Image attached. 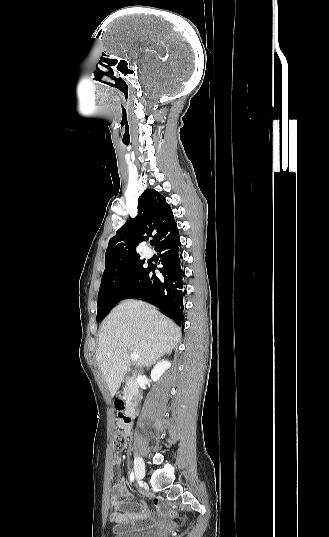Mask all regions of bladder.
Wrapping results in <instances>:
<instances>
[{
	"mask_svg": "<svg viewBox=\"0 0 329 537\" xmlns=\"http://www.w3.org/2000/svg\"><path fill=\"white\" fill-rule=\"evenodd\" d=\"M113 537H155V532L151 530H144V531L115 533Z\"/></svg>",
	"mask_w": 329,
	"mask_h": 537,
	"instance_id": "bladder-1",
	"label": "bladder"
}]
</instances>
